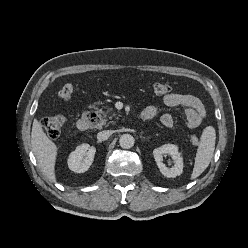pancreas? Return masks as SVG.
<instances>
[{"label": "pancreas", "instance_id": "pancreas-1", "mask_svg": "<svg viewBox=\"0 0 248 248\" xmlns=\"http://www.w3.org/2000/svg\"><path fill=\"white\" fill-rule=\"evenodd\" d=\"M115 116H116V114L113 113L111 116H109V118L111 119L112 117H115ZM107 121H108L107 115L103 114V118H102V120H101L100 125L98 126V128H100L102 125L106 124Z\"/></svg>", "mask_w": 248, "mask_h": 248}]
</instances>
